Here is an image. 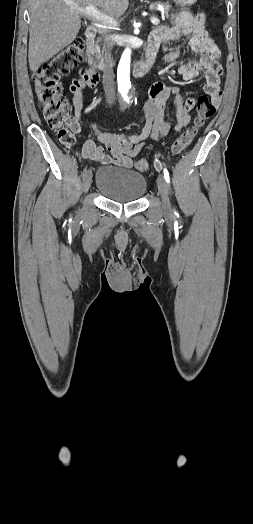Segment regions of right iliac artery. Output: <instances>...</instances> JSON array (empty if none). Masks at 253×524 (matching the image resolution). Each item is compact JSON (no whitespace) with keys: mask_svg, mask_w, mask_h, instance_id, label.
I'll list each match as a JSON object with an SVG mask.
<instances>
[{"mask_svg":"<svg viewBox=\"0 0 253 524\" xmlns=\"http://www.w3.org/2000/svg\"><path fill=\"white\" fill-rule=\"evenodd\" d=\"M123 109V108H122ZM86 171H87V166L83 169L82 171V174H81V177L84 178L85 174H86Z\"/></svg>","mask_w":253,"mask_h":524,"instance_id":"obj_1","label":"right iliac artery"}]
</instances>
